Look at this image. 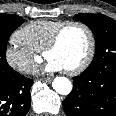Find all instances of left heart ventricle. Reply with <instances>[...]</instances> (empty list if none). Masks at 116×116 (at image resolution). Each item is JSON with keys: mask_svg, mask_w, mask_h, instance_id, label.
<instances>
[{"mask_svg": "<svg viewBox=\"0 0 116 116\" xmlns=\"http://www.w3.org/2000/svg\"><path fill=\"white\" fill-rule=\"evenodd\" d=\"M89 46L88 35L81 27L68 28L62 35L58 46L45 57L59 62L64 70L76 67L85 58Z\"/></svg>", "mask_w": 116, "mask_h": 116, "instance_id": "obj_1", "label": "left heart ventricle"}]
</instances>
